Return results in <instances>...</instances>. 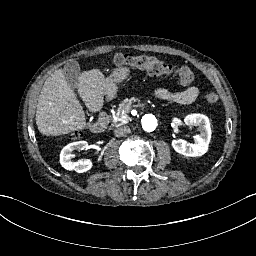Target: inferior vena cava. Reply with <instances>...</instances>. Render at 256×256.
I'll use <instances>...</instances> for the list:
<instances>
[{"mask_svg": "<svg viewBox=\"0 0 256 256\" xmlns=\"http://www.w3.org/2000/svg\"><path fill=\"white\" fill-rule=\"evenodd\" d=\"M131 132L129 126L127 125H121L118 126L115 130H114V134L116 137H123L126 136L127 134H129Z\"/></svg>", "mask_w": 256, "mask_h": 256, "instance_id": "obj_1", "label": "inferior vena cava"}]
</instances>
